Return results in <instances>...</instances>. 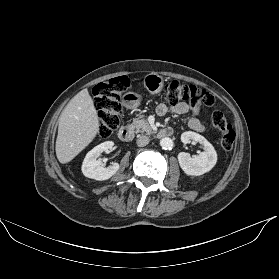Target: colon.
<instances>
[{
	"instance_id": "5ec220e1",
	"label": "colon",
	"mask_w": 279,
	"mask_h": 279,
	"mask_svg": "<svg viewBox=\"0 0 279 279\" xmlns=\"http://www.w3.org/2000/svg\"><path fill=\"white\" fill-rule=\"evenodd\" d=\"M130 86V80L125 76H120L100 83L94 88V104L100 120L98 129L100 137H109L119 126L121 115L120 98ZM164 98L172 106L185 101L208 107L215 104L214 96L210 92L176 80L166 84ZM211 122L220 133L221 147L225 150H231L236 134L227 122L223 112L214 111L211 115Z\"/></svg>"
}]
</instances>
